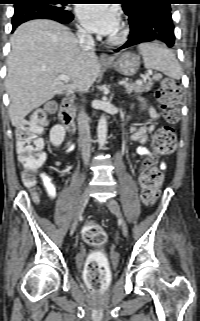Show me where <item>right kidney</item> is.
I'll return each mask as SVG.
<instances>
[{"label": "right kidney", "mask_w": 200, "mask_h": 321, "mask_svg": "<svg viewBox=\"0 0 200 321\" xmlns=\"http://www.w3.org/2000/svg\"><path fill=\"white\" fill-rule=\"evenodd\" d=\"M50 142L52 145L58 147L62 144L65 138V129L62 125H55L50 130Z\"/></svg>", "instance_id": "ca27d5eb"}]
</instances>
